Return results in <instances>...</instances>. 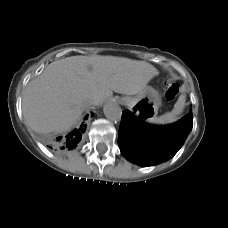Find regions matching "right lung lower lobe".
<instances>
[{
    "mask_svg": "<svg viewBox=\"0 0 228 228\" xmlns=\"http://www.w3.org/2000/svg\"><path fill=\"white\" fill-rule=\"evenodd\" d=\"M87 118L88 116L85 117V119ZM85 131L86 124L83 122L80 126L66 135L49 138L46 141L47 146L58 153H67L79 144Z\"/></svg>",
    "mask_w": 228,
    "mask_h": 228,
    "instance_id": "98d812e1",
    "label": "right lung lower lobe"
}]
</instances>
